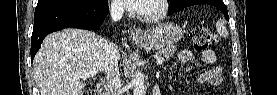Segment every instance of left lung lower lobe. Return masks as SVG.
I'll return each instance as SVG.
<instances>
[{
  "instance_id": "1",
  "label": "left lung lower lobe",
  "mask_w": 277,
  "mask_h": 95,
  "mask_svg": "<svg viewBox=\"0 0 277 95\" xmlns=\"http://www.w3.org/2000/svg\"><path fill=\"white\" fill-rule=\"evenodd\" d=\"M196 4L213 5V6L217 7L218 9H220L221 12L224 14V16L227 19H229L227 8H226L225 4L222 2V0H186L181 5L168 10V14H173V13H175V12H177V11L183 9V8H186V7L191 6V5H196Z\"/></svg>"
}]
</instances>
